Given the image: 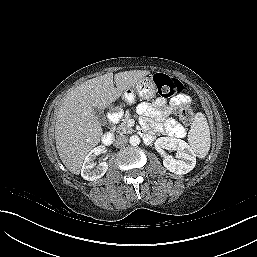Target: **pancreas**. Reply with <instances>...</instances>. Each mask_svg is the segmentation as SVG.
Masks as SVG:
<instances>
[{"label": "pancreas", "instance_id": "obj_1", "mask_svg": "<svg viewBox=\"0 0 257 257\" xmlns=\"http://www.w3.org/2000/svg\"><path fill=\"white\" fill-rule=\"evenodd\" d=\"M128 119L129 116H125L123 122L116 129H114L118 134H130L133 132V129L127 124Z\"/></svg>", "mask_w": 257, "mask_h": 257}]
</instances>
